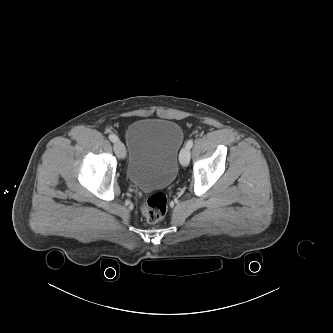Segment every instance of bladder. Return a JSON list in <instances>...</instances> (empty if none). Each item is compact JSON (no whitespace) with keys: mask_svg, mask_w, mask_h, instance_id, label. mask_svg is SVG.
<instances>
[{"mask_svg":"<svg viewBox=\"0 0 333 333\" xmlns=\"http://www.w3.org/2000/svg\"><path fill=\"white\" fill-rule=\"evenodd\" d=\"M184 141L181 125L173 120L140 119L127 130V178L142 190L169 186L178 172V153Z\"/></svg>","mask_w":333,"mask_h":333,"instance_id":"bladder-1","label":"bladder"}]
</instances>
